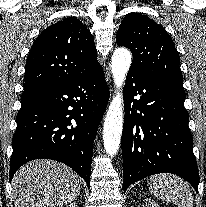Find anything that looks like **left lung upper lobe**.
Returning a JSON list of instances; mask_svg holds the SVG:
<instances>
[{
	"label": "left lung upper lobe",
	"mask_w": 206,
	"mask_h": 207,
	"mask_svg": "<svg viewBox=\"0 0 206 207\" xmlns=\"http://www.w3.org/2000/svg\"><path fill=\"white\" fill-rule=\"evenodd\" d=\"M116 42L132 52L130 72L183 86L175 44L152 19L140 13L127 14L119 26Z\"/></svg>",
	"instance_id": "left-lung-upper-lobe-1"
}]
</instances>
